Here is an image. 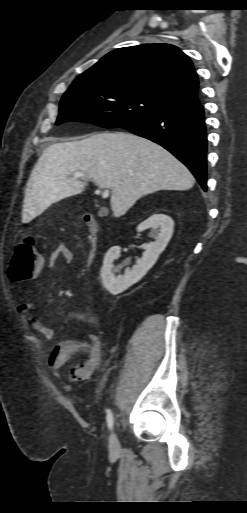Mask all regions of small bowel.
Returning a JSON list of instances; mask_svg holds the SVG:
<instances>
[{"mask_svg": "<svg viewBox=\"0 0 247 513\" xmlns=\"http://www.w3.org/2000/svg\"><path fill=\"white\" fill-rule=\"evenodd\" d=\"M60 261L65 264L73 263V251L63 245L54 249L49 256V266L53 268ZM18 310L31 323L33 329L41 336L44 342L50 343L54 340L55 331L32 313L27 298L21 299L18 304ZM75 318L86 323L92 321L91 317L82 313H77ZM84 353L88 354L87 359L72 366L68 371V375L72 381H86L92 378L102 360L103 345L96 335H88L85 338L63 340L56 343L50 349L46 363L51 369L56 370L66 365L71 359Z\"/></svg>", "mask_w": 247, "mask_h": 513, "instance_id": "c3829d8e", "label": "small bowel"}]
</instances>
